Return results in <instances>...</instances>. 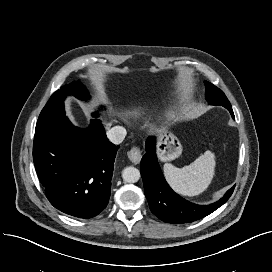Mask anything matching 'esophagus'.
<instances>
[{"instance_id": "34e87169", "label": "esophagus", "mask_w": 272, "mask_h": 272, "mask_svg": "<svg viewBox=\"0 0 272 272\" xmlns=\"http://www.w3.org/2000/svg\"><path fill=\"white\" fill-rule=\"evenodd\" d=\"M128 158L130 159L131 162H133L134 164H138L142 158V154L141 151L138 147H132L128 153Z\"/></svg>"}]
</instances>
